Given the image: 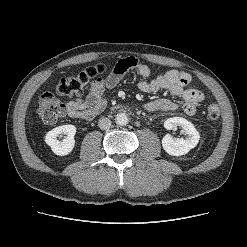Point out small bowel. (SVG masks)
I'll return each mask as SVG.
<instances>
[{
    "mask_svg": "<svg viewBox=\"0 0 247 247\" xmlns=\"http://www.w3.org/2000/svg\"><path fill=\"white\" fill-rule=\"evenodd\" d=\"M119 62L127 63L129 66L124 71L113 68L104 79H97L91 84L85 99L73 98L67 103L66 109L70 117L91 120L97 116L106 106L105 92L116 87L129 69H135L142 77L138 84L142 92L167 91L171 96L149 101L144 105L146 111L152 113L175 111L179 108L175 98L179 97L183 100L182 107L187 115L195 116L198 113L204 95L200 90L188 87L191 82V76L188 73L173 69L150 78V68L136 58L128 57Z\"/></svg>",
    "mask_w": 247,
    "mask_h": 247,
    "instance_id": "small-bowel-1",
    "label": "small bowel"
}]
</instances>
